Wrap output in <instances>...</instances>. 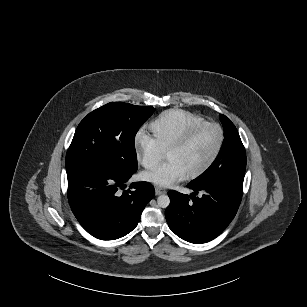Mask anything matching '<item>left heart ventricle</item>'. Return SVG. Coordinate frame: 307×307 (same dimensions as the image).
I'll return each instance as SVG.
<instances>
[{"label":"left heart ventricle","mask_w":307,"mask_h":307,"mask_svg":"<svg viewBox=\"0 0 307 307\" xmlns=\"http://www.w3.org/2000/svg\"><path fill=\"white\" fill-rule=\"evenodd\" d=\"M220 139L221 133L218 128H207L186 147L169 152L164 158L177 164L188 175L200 169L210 160L219 146Z\"/></svg>","instance_id":"left-heart-ventricle-1"}]
</instances>
